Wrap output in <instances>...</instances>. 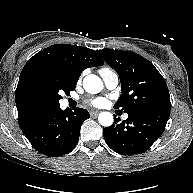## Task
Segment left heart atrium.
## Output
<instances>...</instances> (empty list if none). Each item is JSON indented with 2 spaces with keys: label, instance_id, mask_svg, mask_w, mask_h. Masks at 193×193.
Listing matches in <instances>:
<instances>
[{
  "label": "left heart atrium",
  "instance_id": "left-heart-atrium-1",
  "mask_svg": "<svg viewBox=\"0 0 193 193\" xmlns=\"http://www.w3.org/2000/svg\"><path fill=\"white\" fill-rule=\"evenodd\" d=\"M90 104L94 107H103L106 104V99L98 97L90 101Z\"/></svg>",
  "mask_w": 193,
  "mask_h": 193
}]
</instances>
